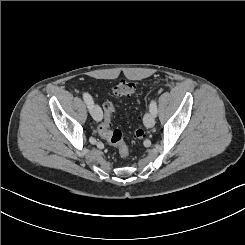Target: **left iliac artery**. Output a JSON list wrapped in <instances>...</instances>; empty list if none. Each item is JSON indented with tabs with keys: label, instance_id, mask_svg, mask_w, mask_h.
<instances>
[{
	"label": "left iliac artery",
	"instance_id": "1",
	"mask_svg": "<svg viewBox=\"0 0 245 245\" xmlns=\"http://www.w3.org/2000/svg\"><path fill=\"white\" fill-rule=\"evenodd\" d=\"M149 109L153 115L157 114V104H156V101L154 99L151 100Z\"/></svg>",
	"mask_w": 245,
	"mask_h": 245
}]
</instances>
